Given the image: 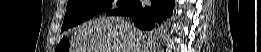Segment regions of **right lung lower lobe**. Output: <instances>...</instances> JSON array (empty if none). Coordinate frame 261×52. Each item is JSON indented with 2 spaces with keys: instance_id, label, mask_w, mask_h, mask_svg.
I'll return each instance as SVG.
<instances>
[{
  "instance_id": "right-lung-lower-lobe-1",
  "label": "right lung lower lobe",
  "mask_w": 261,
  "mask_h": 52,
  "mask_svg": "<svg viewBox=\"0 0 261 52\" xmlns=\"http://www.w3.org/2000/svg\"><path fill=\"white\" fill-rule=\"evenodd\" d=\"M118 10L107 15H123L134 18V24L142 30H152L161 25L173 13L174 0H151V6H142L139 0H126L118 4Z\"/></svg>"
}]
</instances>
